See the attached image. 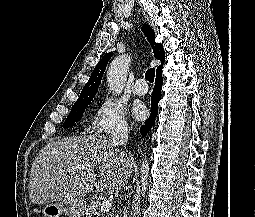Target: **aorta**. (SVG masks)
I'll return each instance as SVG.
<instances>
[{"instance_id":"obj_1","label":"aorta","mask_w":255,"mask_h":217,"mask_svg":"<svg viewBox=\"0 0 255 217\" xmlns=\"http://www.w3.org/2000/svg\"><path fill=\"white\" fill-rule=\"evenodd\" d=\"M129 65L130 57L128 55L118 56L111 62L107 71V84L113 93L119 94L122 92L126 83ZM140 173L141 194L145 196L149 176V163L146 159L141 161Z\"/></svg>"}]
</instances>
